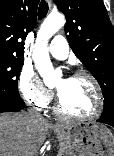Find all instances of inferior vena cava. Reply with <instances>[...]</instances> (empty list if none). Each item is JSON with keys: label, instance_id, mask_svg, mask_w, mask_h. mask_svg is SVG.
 Instances as JSON below:
<instances>
[{"label": "inferior vena cava", "instance_id": "1", "mask_svg": "<svg viewBox=\"0 0 114 156\" xmlns=\"http://www.w3.org/2000/svg\"><path fill=\"white\" fill-rule=\"evenodd\" d=\"M28 115L32 118H35V119H41L43 118L42 115L40 114V112L38 110H35V109H32V108H29L28 109Z\"/></svg>", "mask_w": 114, "mask_h": 156}]
</instances>
